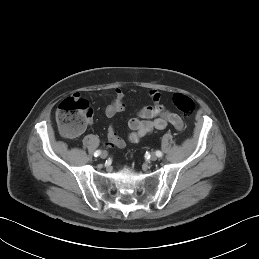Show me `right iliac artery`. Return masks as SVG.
Returning a JSON list of instances; mask_svg holds the SVG:
<instances>
[{"instance_id":"1","label":"right iliac artery","mask_w":259,"mask_h":259,"mask_svg":"<svg viewBox=\"0 0 259 259\" xmlns=\"http://www.w3.org/2000/svg\"><path fill=\"white\" fill-rule=\"evenodd\" d=\"M100 153H101V151H100V150H97V151L94 152V156L97 157V156L100 155Z\"/></svg>"}]
</instances>
